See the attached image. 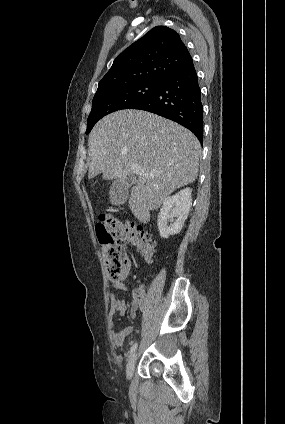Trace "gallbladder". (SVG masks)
<instances>
[{
    "instance_id": "obj_1",
    "label": "gallbladder",
    "mask_w": 285,
    "mask_h": 424,
    "mask_svg": "<svg viewBox=\"0 0 285 424\" xmlns=\"http://www.w3.org/2000/svg\"><path fill=\"white\" fill-rule=\"evenodd\" d=\"M131 181L129 179H118L114 181L111 185L112 190H115L117 187H126L128 188Z\"/></svg>"
}]
</instances>
